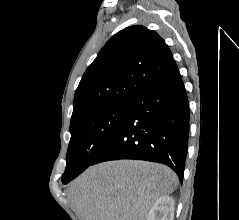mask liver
<instances>
[{"label": "liver", "instance_id": "1", "mask_svg": "<svg viewBox=\"0 0 239 220\" xmlns=\"http://www.w3.org/2000/svg\"><path fill=\"white\" fill-rule=\"evenodd\" d=\"M177 185L178 177L164 165L107 161L75 179L69 197L79 220H147L154 202Z\"/></svg>", "mask_w": 239, "mask_h": 220}]
</instances>
